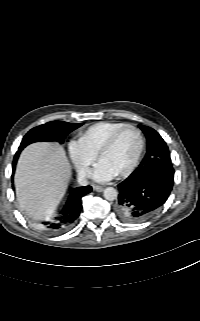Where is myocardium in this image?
I'll return each instance as SVG.
<instances>
[{"mask_svg": "<svg viewBox=\"0 0 200 321\" xmlns=\"http://www.w3.org/2000/svg\"><path fill=\"white\" fill-rule=\"evenodd\" d=\"M128 130H133L138 135L139 147H138V150H137V153H136V156H135L133 162L130 164V166L126 170H124L122 173L116 175L118 178H125V177L129 176L138 166V164L141 160L144 148H145V139H144V135H143L142 131L134 125H126L123 128L116 131L114 134H112L107 139V141L101 146V148L99 149V151L97 153V157L100 160L101 156L106 151L110 150L116 144V142L121 137V135Z\"/></svg>", "mask_w": 200, "mask_h": 321, "instance_id": "myocardium-1", "label": "myocardium"}]
</instances>
